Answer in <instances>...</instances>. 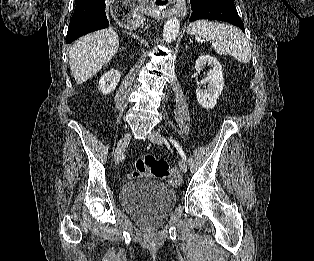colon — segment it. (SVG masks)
Segmentation results:
<instances>
[{
    "instance_id": "5ec220e1",
    "label": "colon",
    "mask_w": 314,
    "mask_h": 261,
    "mask_svg": "<svg viewBox=\"0 0 314 261\" xmlns=\"http://www.w3.org/2000/svg\"><path fill=\"white\" fill-rule=\"evenodd\" d=\"M176 170H170L167 161L145 155L135 161V170L131 173L132 178L148 177L153 179H165L175 176Z\"/></svg>"
}]
</instances>
